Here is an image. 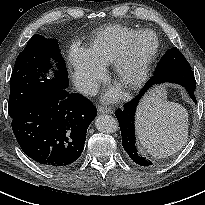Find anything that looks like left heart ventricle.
<instances>
[{"label": "left heart ventricle", "mask_w": 205, "mask_h": 205, "mask_svg": "<svg viewBox=\"0 0 205 205\" xmlns=\"http://www.w3.org/2000/svg\"><path fill=\"white\" fill-rule=\"evenodd\" d=\"M153 46H154V39L150 36L143 37L138 43V47L142 52H147L151 50ZM134 74H135L134 69H131L128 73V77L132 78Z\"/></svg>", "instance_id": "left-heart-ventricle-1"}]
</instances>
